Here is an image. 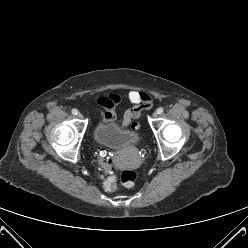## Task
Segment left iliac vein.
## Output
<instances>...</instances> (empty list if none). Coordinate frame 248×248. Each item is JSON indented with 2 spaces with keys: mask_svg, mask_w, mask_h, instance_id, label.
<instances>
[{
  "mask_svg": "<svg viewBox=\"0 0 248 248\" xmlns=\"http://www.w3.org/2000/svg\"><path fill=\"white\" fill-rule=\"evenodd\" d=\"M152 117H153V118H157V117H158V113H157V112H154V113L152 114Z\"/></svg>",
  "mask_w": 248,
  "mask_h": 248,
  "instance_id": "4c4485c4",
  "label": "left iliac vein"
}]
</instances>
